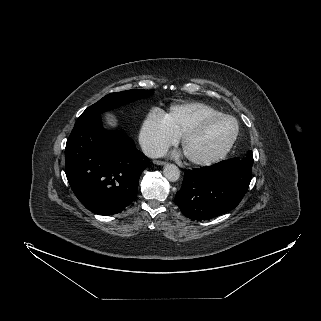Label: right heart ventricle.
Masks as SVG:
<instances>
[{
  "label": "right heart ventricle",
  "instance_id": "1",
  "mask_svg": "<svg viewBox=\"0 0 321 321\" xmlns=\"http://www.w3.org/2000/svg\"><path fill=\"white\" fill-rule=\"evenodd\" d=\"M221 114L215 107L202 102H188L176 104L170 107L163 116L167 129L176 137L196 124L201 119Z\"/></svg>",
  "mask_w": 321,
  "mask_h": 321
}]
</instances>
